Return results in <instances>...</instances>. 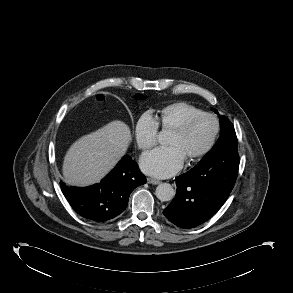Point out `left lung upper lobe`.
<instances>
[{"mask_svg":"<svg viewBox=\"0 0 293 293\" xmlns=\"http://www.w3.org/2000/svg\"><path fill=\"white\" fill-rule=\"evenodd\" d=\"M212 110L218 114L217 110ZM219 118L221 126L220 137L212 150H210L196 166L212 167L226 161L229 156L238 155V141L233 124L226 116H219Z\"/></svg>","mask_w":293,"mask_h":293,"instance_id":"left-lung-upper-lobe-1","label":"left lung upper lobe"}]
</instances>
